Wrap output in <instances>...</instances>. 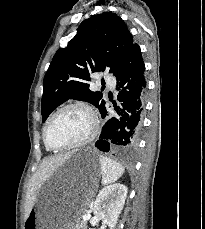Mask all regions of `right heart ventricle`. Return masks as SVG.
Returning <instances> with one entry per match:
<instances>
[{
  "label": "right heart ventricle",
  "mask_w": 205,
  "mask_h": 229,
  "mask_svg": "<svg viewBox=\"0 0 205 229\" xmlns=\"http://www.w3.org/2000/svg\"><path fill=\"white\" fill-rule=\"evenodd\" d=\"M47 124V123H46ZM46 126V125H45ZM45 126H44V129H45ZM43 133H44V130H43ZM47 148V147H46ZM48 149V148H47Z\"/></svg>",
  "instance_id": "1"
}]
</instances>
